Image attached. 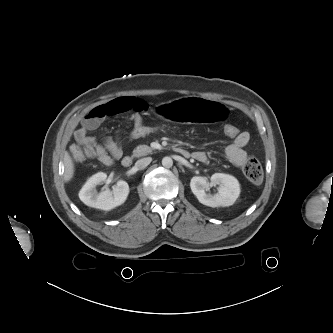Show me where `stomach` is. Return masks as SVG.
Masks as SVG:
<instances>
[{
    "instance_id": "0dacf381",
    "label": "stomach",
    "mask_w": 333,
    "mask_h": 333,
    "mask_svg": "<svg viewBox=\"0 0 333 333\" xmlns=\"http://www.w3.org/2000/svg\"><path fill=\"white\" fill-rule=\"evenodd\" d=\"M162 105L168 108L165 114L159 111ZM155 113L159 119H172L179 124L195 121L197 123L229 125L235 119V110L231 105L211 103L204 96L181 97L174 103L159 104Z\"/></svg>"
}]
</instances>
